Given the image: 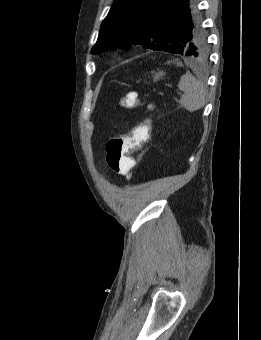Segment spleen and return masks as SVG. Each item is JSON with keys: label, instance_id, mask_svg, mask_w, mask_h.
Masks as SVG:
<instances>
[{"label": "spleen", "instance_id": "spleen-1", "mask_svg": "<svg viewBox=\"0 0 261 340\" xmlns=\"http://www.w3.org/2000/svg\"><path fill=\"white\" fill-rule=\"evenodd\" d=\"M178 88L184 92L179 103L189 112H195L204 107L207 90L205 85L191 73H186L180 78Z\"/></svg>", "mask_w": 261, "mask_h": 340}]
</instances>
